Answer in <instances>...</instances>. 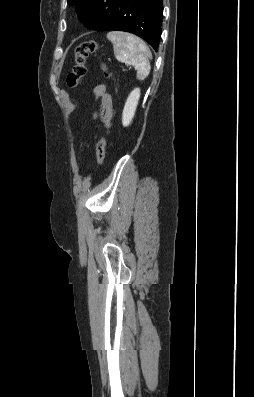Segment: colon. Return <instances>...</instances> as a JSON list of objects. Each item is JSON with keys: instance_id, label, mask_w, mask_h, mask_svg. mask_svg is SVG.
<instances>
[{"instance_id": "1", "label": "colon", "mask_w": 254, "mask_h": 397, "mask_svg": "<svg viewBox=\"0 0 254 397\" xmlns=\"http://www.w3.org/2000/svg\"><path fill=\"white\" fill-rule=\"evenodd\" d=\"M99 44L96 41H87L80 44L75 50V63L71 72L66 77V83L70 88H76L80 85L82 79L86 75V61L90 54L99 51ZM103 71L112 76L107 66L101 64ZM107 138L102 135L96 145V159L98 165H102L106 153Z\"/></svg>"}]
</instances>
